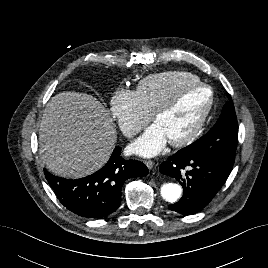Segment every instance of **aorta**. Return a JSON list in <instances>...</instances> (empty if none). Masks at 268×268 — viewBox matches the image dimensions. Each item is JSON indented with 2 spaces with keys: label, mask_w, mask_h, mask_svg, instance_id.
I'll use <instances>...</instances> for the list:
<instances>
[{
  "label": "aorta",
  "mask_w": 268,
  "mask_h": 268,
  "mask_svg": "<svg viewBox=\"0 0 268 268\" xmlns=\"http://www.w3.org/2000/svg\"><path fill=\"white\" fill-rule=\"evenodd\" d=\"M182 194V187L176 183H166L161 186V196L167 202H176Z\"/></svg>",
  "instance_id": "762f6f07"
}]
</instances>
